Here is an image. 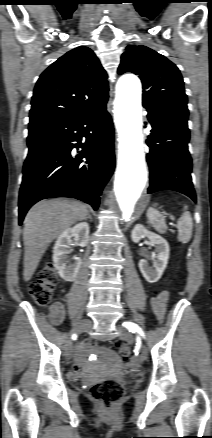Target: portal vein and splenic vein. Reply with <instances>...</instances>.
Segmentation results:
<instances>
[{
	"label": "portal vein and splenic vein",
	"mask_w": 212,
	"mask_h": 438,
	"mask_svg": "<svg viewBox=\"0 0 212 438\" xmlns=\"http://www.w3.org/2000/svg\"><path fill=\"white\" fill-rule=\"evenodd\" d=\"M171 220L174 221V218L172 217ZM170 225L173 226L174 225L173 222H170Z\"/></svg>",
	"instance_id": "18ae733b"
}]
</instances>
